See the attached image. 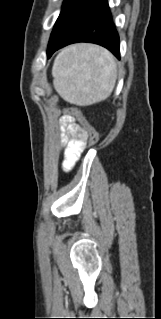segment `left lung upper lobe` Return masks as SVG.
Masks as SVG:
<instances>
[{
    "instance_id": "5c2ea615",
    "label": "left lung upper lobe",
    "mask_w": 161,
    "mask_h": 319,
    "mask_svg": "<svg viewBox=\"0 0 161 319\" xmlns=\"http://www.w3.org/2000/svg\"><path fill=\"white\" fill-rule=\"evenodd\" d=\"M100 2H102V0H64L60 15L51 33L48 46L63 38Z\"/></svg>"
}]
</instances>
